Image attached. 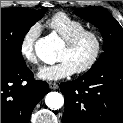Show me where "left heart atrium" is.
<instances>
[{"label":"left heart atrium","mask_w":123,"mask_h":123,"mask_svg":"<svg viewBox=\"0 0 123 123\" xmlns=\"http://www.w3.org/2000/svg\"><path fill=\"white\" fill-rule=\"evenodd\" d=\"M75 68L67 60H60L59 62L44 66L38 72V77L42 80H60L72 75Z\"/></svg>","instance_id":"left-heart-atrium-1"}]
</instances>
